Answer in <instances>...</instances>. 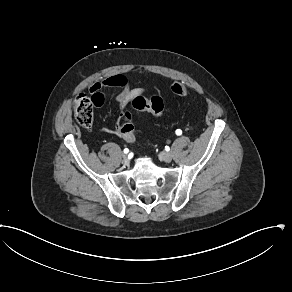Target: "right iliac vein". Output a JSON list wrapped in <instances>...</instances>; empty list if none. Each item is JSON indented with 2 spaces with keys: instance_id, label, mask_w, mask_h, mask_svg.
Returning a JSON list of instances; mask_svg holds the SVG:
<instances>
[{
  "instance_id": "63e3f726",
  "label": "right iliac vein",
  "mask_w": 292,
  "mask_h": 292,
  "mask_svg": "<svg viewBox=\"0 0 292 292\" xmlns=\"http://www.w3.org/2000/svg\"><path fill=\"white\" fill-rule=\"evenodd\" d=\"M122 158H123L124 161H127L128 160V155L124 153V154H122Z\"/></svg>"
}]
</instances>
